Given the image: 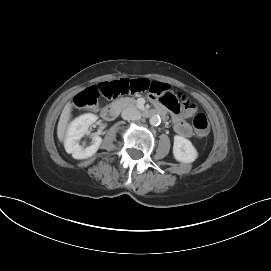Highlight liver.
Segmentation results:
<instances>
[{
	"instance_id": "obj_1",
	"label": "liver",
	"mask_w": 271,
	"mask_h": 271,
	"mask_svg": "<svg viewBox=\"0 0 271 271\" xmlns=\"http://www.w3.org/2000/svg\"><path fill=\"white\" fill-rule=\"evenodd\" d=\"M71 110H72V104L67 103L61 113L58 127H57V135L60 141H64L65 139L68 122L71 118Z\"/></svg>"
}]
</instances>
